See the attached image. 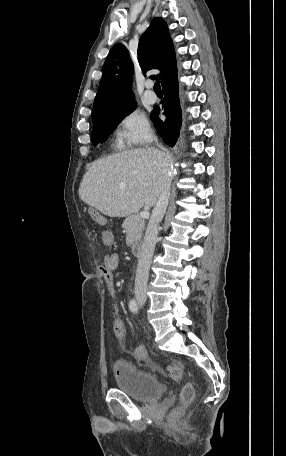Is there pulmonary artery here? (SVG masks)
<instances>
[{"instance_id": "pulmonary-artery-1", "label": "pulmonary artery", "mask_w": 286, "mask_h": 456, "mask_svg": "<svg viewBox=\"0 0 286 456\" xmlns=\"http://www.w3.org/2000/svg\"><path fill=\"white\" fill-rule=\"evenodd\" d=\"M151 87H152V83L151 82H148L146 84V91L144 93V98H145V101L149 104H153L157 101V96L156 94L151 90Z\"/></svg>"}]
</instances>
